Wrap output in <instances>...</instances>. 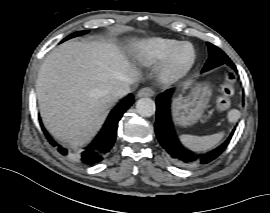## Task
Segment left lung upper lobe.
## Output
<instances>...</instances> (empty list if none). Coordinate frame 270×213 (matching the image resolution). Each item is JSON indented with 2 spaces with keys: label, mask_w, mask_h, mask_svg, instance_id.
Returning a JSON list of instances; mask_svg holds the SVG:
<instances>
[{
  "label": "left lung upper lobe",
  "mask_w": 270,
  "mask_h": 213,
  "mask_svg": "<svg viewBox=\"0 0 270 213\" xmlns=\"http://www.w3.org/2000/svg\"><path fill=\"white\" fill-rule=\"evenodd\" d=\"M207 45L209 50V58L204 65V68L202 69L203 72L213 69L224 63L230 66L234 65L230 58L220 48L211 43H207Z\"/></svg>",
  "instance_id": "5c2ea615"
}]
</instances>
